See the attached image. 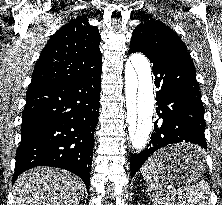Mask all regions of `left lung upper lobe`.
Wrapping results in <instances>:
<instances>
[{"label": "left lung upper lobe", "mask_w": 222, "mask_h": 205, "mask_svg": "<svg viewBox=\"0 0 222 205\" xmlns=\"http://www.w3.org/2000/svg\"><path fill=\"white\" fill-rule=\"evenodd\" d=\"M131 42L152 49H174L188 54L186 45L173 30L147 14H143L141 23L134 29Z\"/></svg>", "instance_id": "left-lung-upper-lobe-1"}]
</instances>
